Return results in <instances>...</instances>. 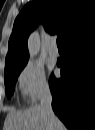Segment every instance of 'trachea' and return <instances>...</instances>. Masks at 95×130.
Listing matches in <instances>:
<instances>
[{"label": "trachea", "mask_w": 95, "mask_h": 130, "mask_svg": "<svg viewBox=\"0 0 95 130\" xmlns=\"http://www.w3.org/2000/svg\"><path fill=\"white\" fill-rule=\"evenodd\" d=\"M57 46H60V47L63 46V44H62V39H61L60 36L57 37Z\"/></svg>", "instance_id": "3493384b"}]
</instances>
